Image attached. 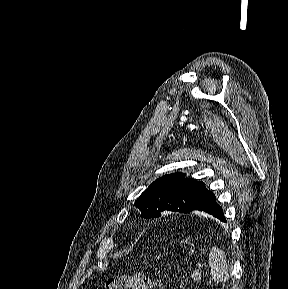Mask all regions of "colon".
<instances>
[{"instance_id":"obj_1","label":"colon","mask_w":288,"mask_h":289,"mask_svg":"<svg viewBox=\"0 0 288 289\" xmlns=\"http://www.w3.org/2000/svg\"><path fill=\"white\" fill-rule=\"evenodd\" d=\"M104 289H163V286L160 280L135 272L108 281Z\"/></svg>"}]
</instances>
